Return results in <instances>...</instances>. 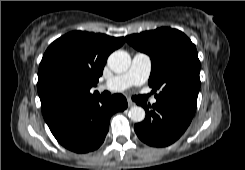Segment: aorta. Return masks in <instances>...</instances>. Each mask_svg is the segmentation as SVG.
Returning a JSON list of instances; mask_svg holds the SVG:
<instances>
[{
	"label": "aorta",
	"mask_w": 245,
	"mask_h": 170,
	"mask_svg": "<svg viewBox=\"0 0 245 170\" xmlns=\"http://www.w3.org/2000/svg\"><path fill=\"white\" fill-rule=\"evenodd\" d=\"M130 64L131 57L123 50L114 51L108 58L109 68L116 73L127 71ZM129 117L133 122H142L145 119V110L142 107L134 106L129 111Z\"/></svg>",
	"instance_id": "obj_1"
}]
</instances>
